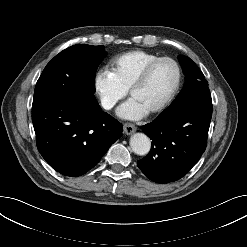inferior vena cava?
I'll return each mask as SVG.
<instances>
[{
    "label": "inferior vena cava",
    "mask_w": 247,
    "mask_h": 247,
    "mask_svg": "<svg viewBox=\"0 0 247 247\" xmlns=\"http://www.w3.org/2000/svg\"><path fill=\"white\" fill-rule=\"evenodd\" d=\"M114 102L112 101H106V102H103L102 103V106L105 108V109H111L113 106H114Z\"/></svg>",
    "instance_id": "1"
}]
</instances>
